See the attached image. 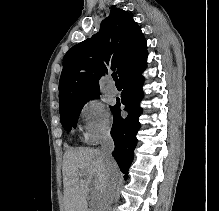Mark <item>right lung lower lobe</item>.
<instances>
[{
	"instance_id": "right-lung-lower-lobe-1",
	"label": "right lung lower lobe",
	"mask_w": 219,
	"mask_h": 211,
	"mask_svg": "<svg viewBox=\"0 0 219 211\" xmlns=\"http://www.w3.org/2000/svg\"><path fill=\"white\" fill-rule=\"evenodd\" d=\"M145 68L146 61L130 69L120 79L123 85L121 99H118L117 104L111 107L114 115L111 135L115 143L112 155L120 170L125 174V179L128 178V169L133 161L134 149L137 143L136 134L140 128L138 118L142 113V109L139 103L143 98L142 84L144 81L141 73ZM121 104L124 105L123 110L128 112V116L125 118L120 115Z\"/></svg>"
}]
</instances>
